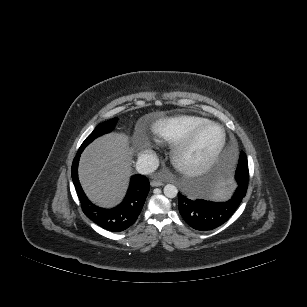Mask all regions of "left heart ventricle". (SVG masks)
Returning <instances> with one entry per match:
<instances>
[{
	"label": "left heart ventricle",
	"instance_id": "left-heart-ventricle-1",
	"mask_svg": "<svg viewBox=\"0 0 307 307\" xmlns=\"http://www.w3.org/2000/svg\"><path fill=\"white\" fill-rule=\"evenodd\" d=\"M221 139L220 130L216 127H209L204 130L183 159L187 163H195L203 160L216 148Z\"/></svg>",
	"mask_w": 307,
	"mask_h": 307
}]
</instances>
